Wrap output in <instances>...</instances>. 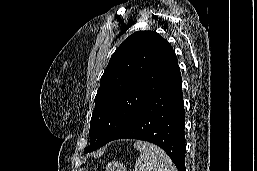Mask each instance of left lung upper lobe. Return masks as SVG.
<instances>
[{
    "mask_svg": "<svg viewBox=\"0 0 257 171\" xmlns=\"http://www.w3.org/2000/svg\"><path fill=\"white\" fill-rule=\"evenodd\" d=\"M170 43L154 31L130 35L101 77L90 121L91 152L124 130L163 83L176 62Z\"/></svg>",
    "mask_w": 257,
    "mask_h": 171,
    "instance_id": "5c2ea615",
    "label": "left lung upper lobe"
}]
</instances>
